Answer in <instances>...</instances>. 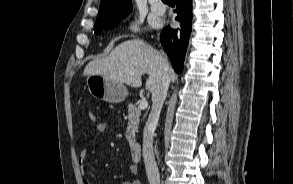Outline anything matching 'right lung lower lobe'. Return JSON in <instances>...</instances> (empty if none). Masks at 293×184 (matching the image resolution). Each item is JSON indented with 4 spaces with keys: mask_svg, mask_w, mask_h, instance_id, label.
<instances>
[{
    "mask_svg": "<svg viewBox=\"0 0 293 184\" xmlns=\"http://www.w3.org/2000/svg\"><path fill=\"white\" fill-rule=\"evenodd\" d=\"M177 17L180 22L179 29L164 28L160 40L167 52L177 73H181L184 65L185 52L188 46L192 21V0H172Z\"/></svg>",
    "mask_w": 293,
    "mask_h": 184,
    "instance_id": "right-lung-lower-lobe-1",
    "label": "right lung lower lobe"
}]
</instances>
